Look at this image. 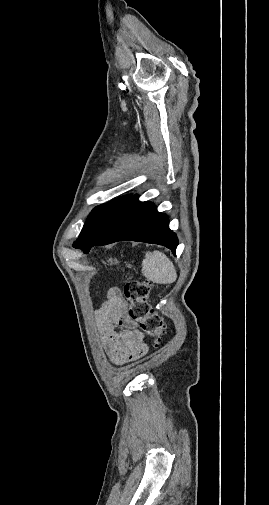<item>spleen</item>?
I'll use <instances>...</instances> for the list:
<instances>
[{"mask_svg":"<svg viewBox=\"0 0 269 505\" xmlns=\"http://www.w3.org/2000/svg\"><path fill=\"white\" fill-rule=\"evenodd\" d=\"M141 271L143 276L157 284H171L177 279L173 263L160 251L146 252Z\"/></svg>","mask_w":269,"mask_h":505,"instance_id":"3e777b00","label":"spleen"}]
</instances>
